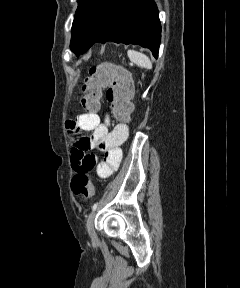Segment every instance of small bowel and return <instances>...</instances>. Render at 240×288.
<instances>
[{
    "label": "small bowel",
    "instance_id": "small-bowel-1",
    "mask_svg": "<svg viewBox=\"0 0 240 288\" xmlns=\"http://www.w3.org/2000/svg\"><path fill=\"white\" fill-rule=\"evenodd\" d=\"M110 118L107 114L104 122L97 113L80 114L66 121V129L71 136L70 153L72 169L77 174H87L93 168L100 178L111 176L120 166L122 151L120 146L128 137V126L118 124L109 130ZM81 131L91 132L89 136H80ZM92 149L104 152V158L97 161L89 153Z\"/></svg>",
    "mask_w": 240,
    "mask_h": 288
}]
</instances>
